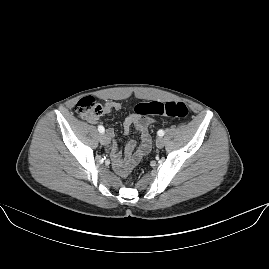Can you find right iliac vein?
Segmentation results:
<instances>
[{"label":"right iliac vein","instance_id":"1","mask_svg":"<svg viewBox=\"0 0 269 269\" xmlns=\"http://www.w3.org/2000/svg\"><path fill=\"white\" fill-rule=\"evenodd\" d=\"M99 140L102 145H108L110 143V137L107 133H102Z\"/></svg>","mask_w":269,"mask_h":269}]
</instances>
